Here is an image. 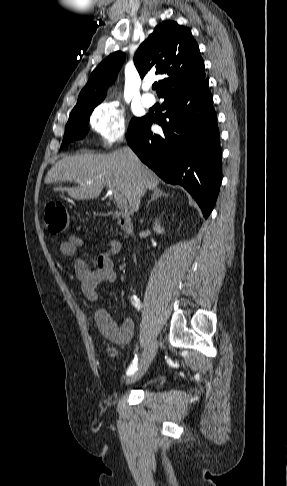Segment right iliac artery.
<instances>
[{"label": "right iliac artery", "instance_id": "1", "mask_svg": "<svg viewBox=\"0 0 287 486\" xmlns=\"http://www.w3.org/2000/svg\"><path fill=\"white\" fill-rule=\"evenodd\" d=\"M133 304L135 305V307L140 308L139 299L136 296L133 297ZM137 369H138V359L137 357H135L127 370V375L134 374Z\"/></svg>", "mask_w": 287, "mask_h": 486}]
</instances>
